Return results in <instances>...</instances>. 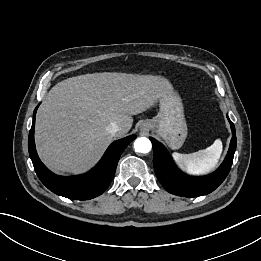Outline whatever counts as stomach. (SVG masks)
<instances>
[{"label":"stomach","mask_w":261,"mask_h":261,"mask_svg":"<svg viewBox=\"0 0 261 261\" xmlns=\"http://www.w3.org/2000/svg\"><path fill=\"white\" fill-rule=\"evenodd\" d=\"M143 129L160 135L172 149L180 148L187 137V124L180 97L172 92L159 100V112L153 119L145 120Z\"/></svg>","instance_id":"1"}]
</instances>
